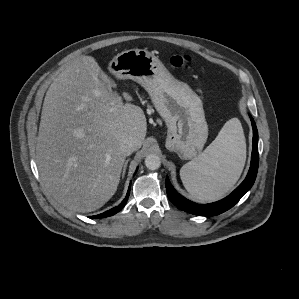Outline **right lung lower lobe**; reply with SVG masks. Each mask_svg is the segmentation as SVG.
Listing matches in <instances>:
<instances>
[{
	"mask_svg": "<svg viewBox=\"0 0 299 299\" xmlns=\"http://www.w3.org/2000/svg\"><path fill=\"white\" fill-rule=\"evenodd\" d=\"M129 194H130V186H129V189H128V192H127V195L125 197V199L122 201V203L117 206V207H114L102 214H99V215H96V216H91L90 218H104V217H108V216H112L114 214H116L118 211H120L126 204L127 200H128V197H129Z\"/></svg>",
	"mask_w": 299,
	"mask_h": 299,
	"instance_id": "right-lung-lower-lobe-1",
	"label": "right lung lower lobe"
}]
</instances>
